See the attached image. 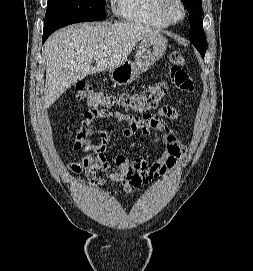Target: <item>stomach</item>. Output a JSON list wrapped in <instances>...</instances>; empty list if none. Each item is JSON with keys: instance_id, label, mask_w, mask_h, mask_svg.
<instances>
[{"instance_id": "0dacf381", "label": "stomach", "mask_w": 253, "mask_h": 271, "mask_svg": "<svg viewBox=\"0 0 253 271\" xmlns=\"http://www.w3.org/2000/svg\"><path fill=\"white\" fill-rule=\"evenodd\" d=\"M167 49V39L160 33L144 37L136 50L135 60L124 61L109 70V77L117 85H127L145 73Z\"/></svg>"}]
</instances>
